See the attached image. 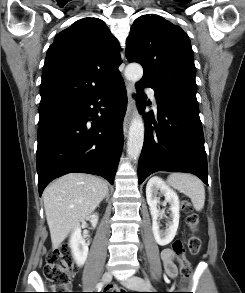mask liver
<instances>
[{
    "mask_svg": "<svg viewBox=\"0 0 245 293\" xmlns=\"http://www.w3.org/2000/svg\"><path fill=\"white\" fill-rule=\"evenodd\" d=\"M107 183L90 174L70 173L50 184L43 193L53 249H57L79 222L106 197Z\"/></svg>",
    "mask_w": 245,
    "mask_h": 293,
    "instance_id": "1",
    "label": "liver"
}]
</instances>
